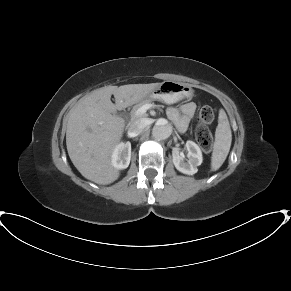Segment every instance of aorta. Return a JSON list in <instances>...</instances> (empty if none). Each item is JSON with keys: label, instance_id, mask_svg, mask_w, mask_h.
I'll return each mask as SVG.
<instances>
[{"label": "aorta", "instance_id": "obj_1", "mask_svg": "<svg viewBox=\"0 0 291 291\" xmlns=\"http://www.w3.org/2000/svg\"><path fill=\"white\" fill-rule=\"evenodd\" d=\"M172 134V126L166 121H158L153 129L152 136L155 140H165Z\"/></svg>", "mask_w": 291, "mask_h": 291}]
</instances>
